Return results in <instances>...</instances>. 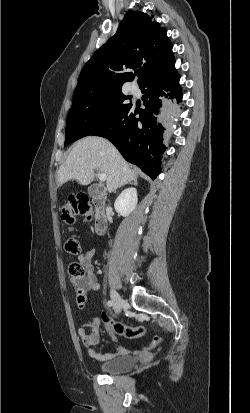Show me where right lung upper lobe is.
Returning a JSON list of instances; mask_svg holds the SVG:
<instances>
[{"instance_id":"obj_1","label":"right lung upper lobe","mask_w":250,"mask_h":413,"mask_svg":"<svg viewBox=\"0 0 250 413\" xmlns=\"http://www.w3.org/2000/svg\"><path fill=\"white\" fill-rule=\"evenodd\" d=\"M139 69L138 84L174 68L167 31L146 13L133 11L124 17L115 35L100 47L83 67L75 94L122 88Z\"/></svg>"}]
</instances>
